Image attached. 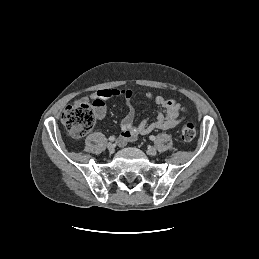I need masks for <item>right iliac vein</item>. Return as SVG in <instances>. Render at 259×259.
<instances>
[{"label":"right iliac vein","mask_w":259,"mask_h":259,"mask_svg":"<svg viewBox=\"0 0 259 259\" xmlns=\"http://www.w3.org/2000/svg\"><path fill=\"white\" fill-rule=\"evenodd\" d=\"M107 149L110 153H113L115 151V146L112 143H108Z\"/></svg>","instance_id":"obj_1"}]
</instances>
